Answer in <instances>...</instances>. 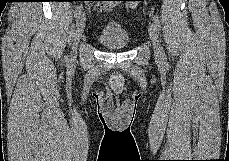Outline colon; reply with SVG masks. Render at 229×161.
Returning a JSON list of instances; mask_svg holds the SVG:
<instances>
[{
  "label": "colon",
  "mask_w": 229,
  "mask_h": 161,
  "mask_svg": "<svg viewBox=\"0 0 229 161\" xmlns=\"http://www.w3.org/2000/svg\"><path fill=\"white\" fill-rule=\"evenodd\" d=\"M139 1H141V0H127L128 8H130V9L135 8L137 6V4L139 3Z\"/></svg>",
  "instance_id": "5ec220e1"
}]
</instances>
